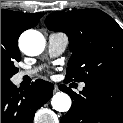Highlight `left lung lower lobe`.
Instances as JSON below:
<instances>
[{"label": "left lung lower lobe", "mask_w": 123, "mask_h": 123, "mask_svg": "<svg viewBox=\"0 0 123 123\" xmlns=\"http://www.w3.org/2000/svg\"><path fill=\"white\" fill-rule=\"evenodd\" d=\"M85 84L79 94L65 85L60 86L73 99L71 109L62 117L61 123H123V82Z\"/></svg>", "instance_id": "obj_1"}]
</instances>
